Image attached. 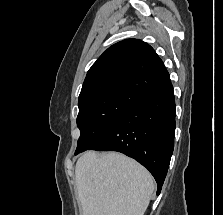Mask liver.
I'll return each mask as SVG.
<instances>
[{"instance_id":"liver-1","label":"liver","mask_w":223,"mask_h":215,"mask_svg":"<svg viewBox=\"0 0 223 215\" xmlns=\"http://www.w3.org/2000/svg\"><path fill=\"white\" fill-rule=\"evenodd\" d=\"M75 177L84 215H144L154 191L148 169L118 151H85Z\"/></svg>"}]
</instances>
